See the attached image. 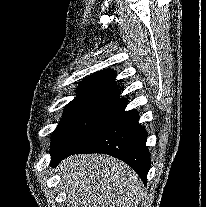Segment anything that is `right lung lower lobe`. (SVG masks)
Here are the masks:
<instances>
[{
	"instance_id": "98d812e1",
	"label": "right lung lower lobe",
	"mask_w": 206,
	"mask_h": 207,
	"mask_svg": "<svg viewBox=\"0 0 206 207\" xmlns=\"http://www.w3.org/2000/svg\"><path fill=\"white\" fill-rule=\"evenodd\" d=\"M136 111H125L106 128L73 149L50 152L51 165L76 153H105L121 159L132 167L146 184L150 169V153L146 147L147 132L138 123Z\"/></svg>"
}]
</instances>
